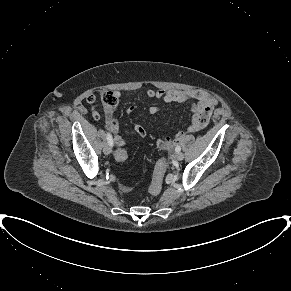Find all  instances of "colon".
<instances>
[{"label":"colon","instance_id":"1","mask_svg":"<svg viewBox=\"0 0 291 291\" xmlns=\"http://www.w3.org/2000/svg\"><path fill=\"white\" fill-rule=\"evenodd\" d=\"M118 96L114 91H106L101 96L102 105L105 108L111 109L118 103ZM129 157V152L126 148H118L114 153V158L117 162H125ZM167 168L166 158L162 157L158 160L154 168V174L152 181L149 185L148 191L151 195H157L160 193L163 184L164 174Z\"/></svg>","mask_w":291,"mask_h":291}]
</instances>
